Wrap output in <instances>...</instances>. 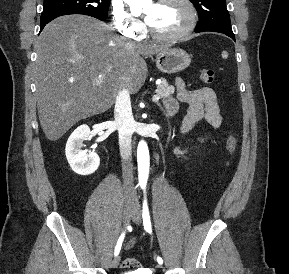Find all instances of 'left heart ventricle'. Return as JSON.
Masks as SVG:
<instances>
[{"label": "left heart ventricle", "instance_id": "1", "mask_svg": "<svg viewBox=\"0 0 289 274\" xmlns=\"http://www.w3.org/2000/svg\"><path fill=\"white\" fill-rule=\"evenodd\" d=\"M144 13L149 17V25L162 34H172L181 30L188 21V11L179 0L148 5Z\"/></svg>", "mask_w": 289, "mask_h": 274}]
</instances>
